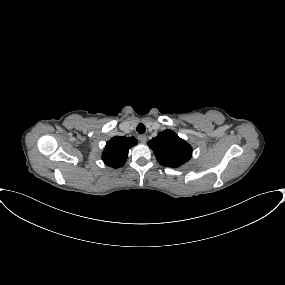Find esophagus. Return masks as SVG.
Returning <instances> with one entry per match:
<instances>
[{"mask_svg": "<svg viewBox=\"0 0 285 285\" xmlns=\"http://www.w3.org/2000/svg\"><path fill=\"white\" fill-rule=\"evenodd\" d=\"M138 139L141 143H146V141H147V137L144 134L139 135Z\"/></svg>", "mask_w": 285, "mask_h": 285, "instance_id": "obj_1", "label": "esophagus"}]
</instances>
